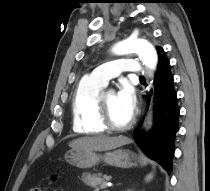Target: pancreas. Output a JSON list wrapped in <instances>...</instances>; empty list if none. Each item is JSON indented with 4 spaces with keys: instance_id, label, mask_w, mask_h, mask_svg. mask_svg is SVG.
I'll return each instance as SVG.
<instances>
[{
    "instance_id": "cf45deb5",
    "label": "pancreas",
    "mask_w": 210,
    "mask_h": 191,
    "mask_svg": "<svg viewBox=\"0 0 210 191\" xmlns=\"http://www.w3.org/2000/svg\"><path fill=\"white\" fill-rule=\"evenodd\" d=\"M110 179L111 177L106 175L103 177H100V175L96 174L91 175L89 173L82 175V181L91 188H94V191H99V189L106 188L107 181Z\"/></svg>"
}]
</instances>
